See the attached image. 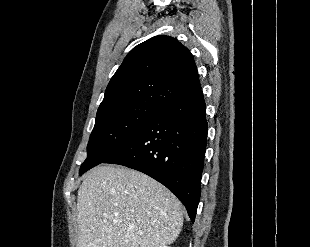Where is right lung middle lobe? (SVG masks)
<instances>
[{
    "label": "right lung middle lobe",
    "instance_id": "1",
    "mask_svg": "<svg viewBox=\"0 0 310 247\" xmlns=\"http://www.w3.org/2000/svg\"><path fill=\"white\" fill-rule=\"evenodd\" d=\"M158 111L154 107L134 106L96 116L87 146L88 155L79 175L117 152Z\"/></svg>",
    "mask_w": 310,
    "mask_h": 247
}]
</instances>
